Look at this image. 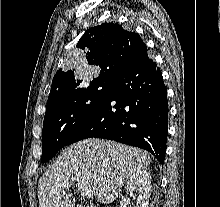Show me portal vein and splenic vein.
Segmentation results:
<instances>
[{
  "instance_id": "18ae733b",
  "label": "portal vein and splenic vein",
  "mask_w": 220,
  "mask_h": 207,
  "mask_svg": "<svg viewBox=\"0 0 220 207\" xmlns=\"http://www.w3.org/2000/svg\"><path fill=\"white\" fill-rule=\"evenodd\" d=\"M63 186L69 187L70 184H69V182H67ZM76 187H78V190H80L82 192L83 196H86L88 198H91L94 194L93 191L90 188H88L87 186H85L84 184L76 183Z\"/></svg>"
}]
</instances>
